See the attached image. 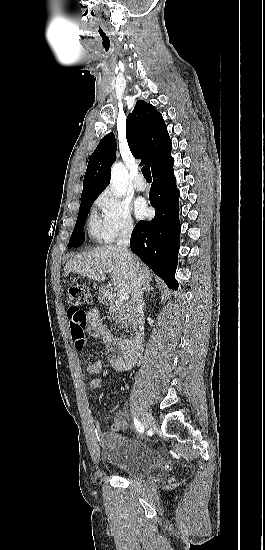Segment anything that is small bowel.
Instances as JSON below:
<instances>
[{
    "mask_svg": "<svg viewBox=\"0 0 265 550\" xmlns=\"http://www.w3.org/2000/svg\"><path fill=\"white\" fill-rule=\"evenodd\" d=\"M86 314V322L83 327V333L81 337L76 340V349L81 350L84 344V331H88L94 337L102 340L104 343L112 345V350L109 354V361L111 365L118 371H128L134 367L138 361V351L131 348L126 339L114 337L110 330L101 322L99 311L96 308L90 309ZM85 369L90 374H99L103 370V362L97 360L94 362H88ZM102 387V381L99 378H93L89 383V389L91 392ZM114 422L121 427L127 425V419L122 411H116L114 413ZM99 438L104 447L110 445L114 434L112 432H105L98 430Z\"/></svg>",
    "mask_w": 265,
    "mask_h": 550,
    "instance_id": "1",
    "label": "small bowel"
}]
</instances>
